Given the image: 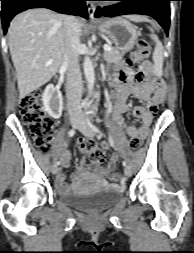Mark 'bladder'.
<instances>
[{
  "instance_id": "bladder-1",
  "label": "bladder",
  "mask_w": 194,
  "mask_h": 253,
  "mask_svg": "<svg viewBox=\"0 0 194 253\" xmlns=\"http://www.w3.org/2000/svg\"><path fill=\"white\" fill-rule=\"evenodd\" d=\"M123 197V191L113 185H106L94 191H71L60 196V200L77 209L97 212L116 204Z\"/></svg>"
}]
</instances>
